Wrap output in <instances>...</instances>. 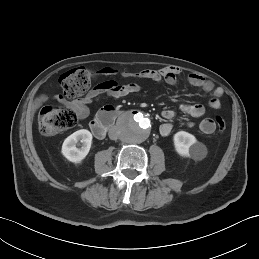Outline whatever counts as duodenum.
Wrapping results in <instances>:
<instances>
[{"instance_id": "1", "label": "duodenum", "mask_w": 259, "mask_h": 259, "mask_svg": "<svg viewBox=\"0 0 259 259\" xmlns=\"http://www.w3.org/2000/svg\"><path fill=\"white\" fill-rule=\"evenodd\" d=\"M119 115L120 111L112 106L103 108L90 123L92 134L98 139L103 138Z\"/></svg>"}]
</instances>
